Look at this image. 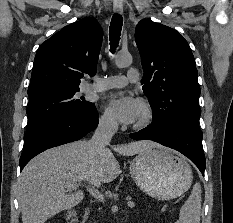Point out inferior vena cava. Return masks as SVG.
Here are the masks:
<instances>
[{"instance_id":"inferior-vena-cava-1","label":"inferior vena cava","mask_w":233,"mask_h":223,"mask_svg":"<svg viewBox=\"0 0 233 223\" xmlns=\"http://www.w3.org/2000/svg\"><path fill=\"white\" fill-rule=\"evenodd\" d=\"M118 129V123L111 117H100L98 127L95 129L92 139H90L91 151L104 153L105 145H109L112 135Z\"/></svg>"}]
</instances>
